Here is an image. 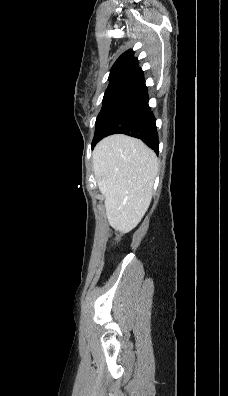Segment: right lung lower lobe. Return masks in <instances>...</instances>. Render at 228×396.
<instances>
[{"mask_svg":"<svg viewBox=\"0 0 228 396\" xmlns=\"http://www.w3.org/2000/svg\"><path fill=\"white\" fill-rule=\"evenodd\" d=\"M148 100L144 77L125 87L97 121L92 148L102 138L122 133L141 139L158 153L159 141L155 117Z\"/></svg>","mask_w":228,"mask_h":396,"instance_id":"1","label":"right lung lower lobe"}]
</instances>
